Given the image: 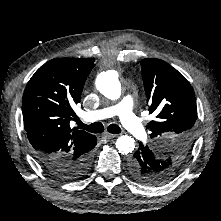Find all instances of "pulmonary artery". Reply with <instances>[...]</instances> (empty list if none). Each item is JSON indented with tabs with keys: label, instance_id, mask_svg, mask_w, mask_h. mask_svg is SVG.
<instances>
[{
	"label": "pulmonary artery",
	"instance_id": "1",
	"mask_svg": "<svg viewBox=\"0 0 221 221\" xmlns=\"http://www.w3.org/2000/svg\"><path fill=\"white\" fill-rule=\"evenodd\" d=\"M119 115L121 122L129 132L139 139H144L147 131L141 120L133 112V100L130 96H125L119 103L107 108L85 113L83 118L86 121L94 122Z\"/></svg>",
	"mask_w": 221,
	"mask_h": 221
}]
</instances>
